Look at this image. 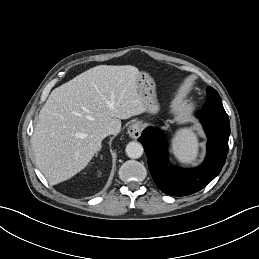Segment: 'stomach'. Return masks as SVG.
I'll list each match as a JSON object with an SVG mask.
<instances>
[{"instance_id": "stomach-1", "label": "stomach", "mask_w": 259, "mask_h": 259, "mask_svg": "<svg viewBox=\"0 0 259 259\" xmlns=\"http://www.w3.org/2000/svg\"><path fill=\"white\" fill-rule=\"evenodd\" d=\"M138 92L145 105V112L156 115L160 106L157 101L156 85L154 80L146 73H141L136 82Z\"/></svg>"}]
</instances>
